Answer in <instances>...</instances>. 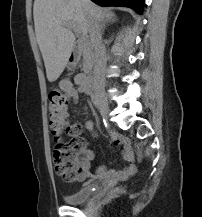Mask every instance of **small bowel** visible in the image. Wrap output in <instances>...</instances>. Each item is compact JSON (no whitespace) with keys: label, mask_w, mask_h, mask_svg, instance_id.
<instances>
[{"label":"small bowel","mask_w":202,"mask_h":217,"mask_svg":"<svg viewBox=\"0 0 202 217\" xmlns=\"http://www.w3.org/2000/svg\"><path fill=\"white\" fill-rule=\"evenodd\" d=\"M82 76L83 75L79 74L75 77V83L78 85V88H75L73 83L69 80H62L59 83V87L61 88V90L64 91L74 103H77L79 99V93L85 92L84 88L82 87V83H81ZM69 127H70V132L73 134L77 135L81 132V125L79 123H73ZM85 127L89 131H91L94 136L96 135L93 131L94 127L91 121H87L85 123ZM112 142L115 146L123 145L122 157H123V160L128 163V165H126L120 170H109L104 166H98L96 169V175L101 176V177L114 178L118 180L128 179L137 172V167L134 163L135 155L132 150L129 139L127 137L114 135L112 137ZM93 158H94V154L91 150L89 149L84 150L82 154V159H83L82 178L84 180L92 176L90 168H91V162Z\"/></svg>","instance_id":"obj_1"}]
</instances>
